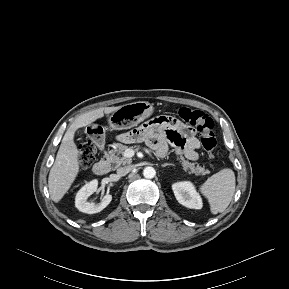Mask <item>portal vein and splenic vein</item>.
I'll return each mask as SVG.
<instances>
[{"mask_svg": "<svg viewBox=\"0 0 289 289\" xmlns=\"http://www.w3.org/2000/svg\"><path fill=\"white\" fill-rule=\"evenodd\" d=\"M145 151H149V150L147 148H145ZM134 154H135V150L130 149V148L124 152V156L126 158H132L134 156Z\"/></svg>", "mask_w": 289, "mask_h": 289, "instance_id": "18ae733b", "label": "portal vein and splenic vein"}]
</instances>
